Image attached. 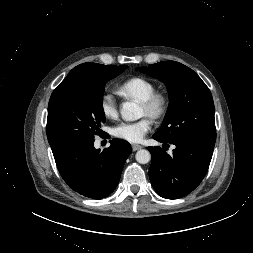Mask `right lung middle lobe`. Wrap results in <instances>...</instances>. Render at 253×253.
<instances>
[{"instance_id": "obj_1", "label": "right lung middle lobe", "mask_w": 253, "mask_h": 253, "mask_svg": "<svg viewBox=\"0 0 253 253\" xmlns=\"http://www.w3.org/2000/svg\"><path fill=\"white\" fill-rule=\"evenodd\" d=\"M128 66H111L75 80L62 82L48 105L47 138L52 149L102 135L105 83Z\"/></svg>"}]
</instances>
